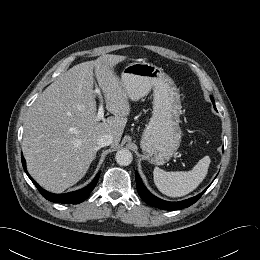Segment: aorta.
Instances as JSON below:
<instances>
[{"label":"aorta","instance_id":"1","mask_svg":"<svg viewBox=\"0 0 260 260\" xmlns=\"http://www.w3.org/2000/svg\"><path fill=\"white\" fill-rule=\"evenodd\" d=\"M115 159L120 166H128L131 164L133 156L128 149H120L117 151Z\"/></svg>","mask_w":260,"mask_h":260}]
</instances>
